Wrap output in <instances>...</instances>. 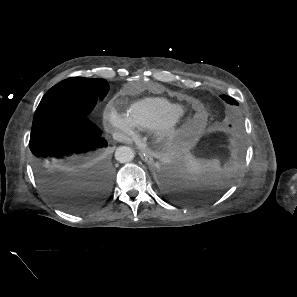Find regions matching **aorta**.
<instances>
[{"label": "aorta", "mask_w": 297, "mask_h": 297, "mask_svg": "<svg viewBox=\"0 0 297 297\" xmlns=\"http://www.w3.org/2000/svg\"><path fill=\"white\" fill-rule=\"evenodd\" d=\"M134 156H135L134 151L127 146H121L117 148L115 152V158L120 163H128L133 160Z\"/></svg>", "instance_id": "obj_1"}]
</instances>
